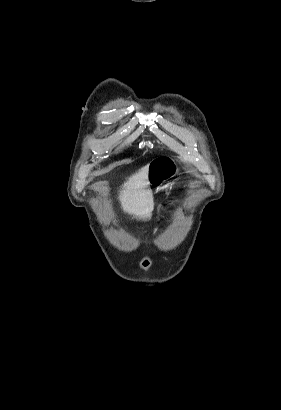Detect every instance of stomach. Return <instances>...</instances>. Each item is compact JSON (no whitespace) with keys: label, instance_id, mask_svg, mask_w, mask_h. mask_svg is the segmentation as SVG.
<instances>
[{"label":"stomach","instance_id":"1","mask_svg":"<svg viewBox=\"0 0 281 410\" xmlns=\"http://www.w3.org/2000/svg\"><path fill=\"white\" fill-rule=\"evenodd\" d=\"M178 172L179 166L175 159L167 156L157 157L148 165L149 185L157 189L162 188L164 184L176 176Z\"/></svg>","mask_w":281,"mask_h":410}]
</instances>
